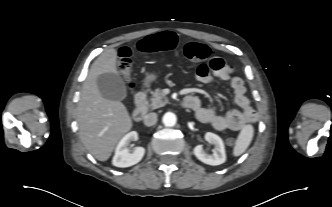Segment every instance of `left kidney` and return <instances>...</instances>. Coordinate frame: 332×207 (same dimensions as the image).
Instances as JSON below:
<instances>
[{
    "label": "left kidney",
    "instance_id": "1",
    "mask_svg": "<svg viewBox=\"0 0 332 207\" xmlns=\"http://www.w3.org/2000/svg\"><path fill=\"white\" fill-rule=\"evenodd\" d=\"M205 139L214 145V150L212 154H208L203 150L202 145H198L194 148V155L203 163L208 165H220L226 161V154L224 143L222 139L211 132L205 134Z\"/></svg>",
    "mask_w": 332,
    "mask_h": 207
}]
</instances>
